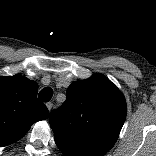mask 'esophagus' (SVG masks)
<instances>
[{"label":"esophagus","instance_id":"esophagus-1","mask_svg":"<svg viewBox=\"0 0 156 156\" xmlns=\"http://www.w3.org/2000/svg\"><path fill=\"white\" fill-rule=\"evenodd\" d=\"M46 106L48 110L50 111L52 109L53 104L51 102L46 103Z\"/></svg>","mask_w":156,"mask_h":156}]
</instances>
